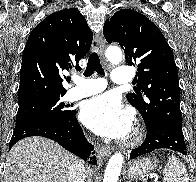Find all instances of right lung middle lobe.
I'll use <instances>...</instances> for the list:
<instances>
[{"label":"right lung middle lobe","instance_id":"right-lung-middle-lobe-1","mask_svg":"<svg viewBox=\"0 0 196 182\" xmlns=\"http://www.w3.org/2000/svg\"><path fill=\"white\" fill-rule=\"evenodd\" d=\"M62 96L38 99L19 105L16 124L40 117L70 118L76 111L68 109V106L61 101Z\"/></svg>","mask_w":196,"mask_h":182}]
</instances>
